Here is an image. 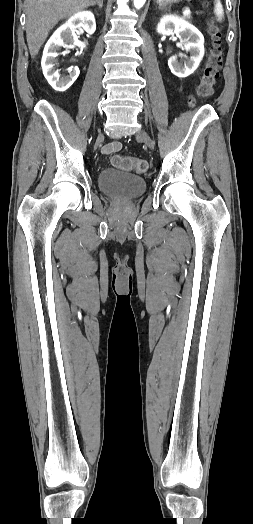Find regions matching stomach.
I'll return each instance as SVG.
<instances>
[{
    "label": "stomach",
    "instance_id": "1",
    "mask_svg": "<svg viewBox=\"0 0 253 524\" xmlns=\"http://www.w3.org/2000/svg\"><path fill=\"white\" fill-rule=\"evenodd\" d=\"M181 0H156V2L159 4V5H169V4H172V3H177Z\"/></svg>",
    "mask_w": 253,
    "mask_h": 524
}]
</instances>
